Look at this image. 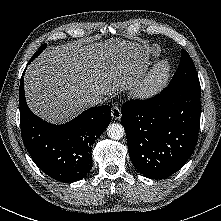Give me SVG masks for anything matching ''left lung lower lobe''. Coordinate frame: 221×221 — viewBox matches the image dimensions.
I'll list each match as a JSON object with an SVG mask.
<instances>
[{
  "mask_svg": "<svg viewBox=\"0 0 221 221\" xmlns=\"http://www.w3.org/2000/svg\"><path fill=\"white\" fill-rule=\"evenodd\" d=\"M197 85L168 86L145 101H129L122 123L134 167L150 179H165L192 155L200 125Z\"/></svg>",
  "mask_w": 221,
  "mask_h": 221,
  "instance_id": "obj_1",
  "label": "left lung lower lobe"
}]
</instances>
